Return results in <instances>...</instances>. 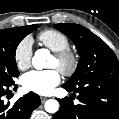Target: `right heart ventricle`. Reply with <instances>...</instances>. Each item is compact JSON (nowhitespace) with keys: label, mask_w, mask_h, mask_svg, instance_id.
<instances>
[{"label":"right heart ventricle","mask_w":119,"mask_h":119,"mask_svg":"<svg viewBox=\"0 0 119 119\" xmlns=\"http://www.w3.org/2000/svg\"><path fill=\"white\" fill-rule=\"evenodd\" d=\"M39 42L51 51H60L70 47L69 38L62 32L54 29H47L37 36Z\"/></svg>","instance_id":"right-heart-ventricle-1"}]
</instances>
